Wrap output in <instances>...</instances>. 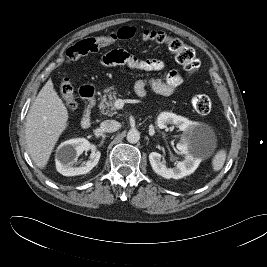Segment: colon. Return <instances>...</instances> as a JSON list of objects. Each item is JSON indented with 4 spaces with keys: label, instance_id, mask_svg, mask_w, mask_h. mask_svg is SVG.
<instances>
[{
    "label": "colon",
    "instance_id": "5ec220e1",
    "mask_svg": "<svg viewBox=\"0 0 267 267\" xmlns=\"http://www.w3.org/2000/svg\"><path fill=\"white\" fill-rule=\"evenodd\" d=\"M136 36L143 41L165 46L169 52L174 55L176 61L182 65L184 70L189 74H193L199 67V61L195 51L181 40L170 37L164 32L155 30H146L137 35L136 30L133 27H122L116 33L107 36L88 37L80 40L67 49V61H76L81 56L88 53L97 52L117 41L130 40ZM60 94L68 110L71 112L75 111L77 103L74 97V90L70 79L66 75L61 79ZM191 103L194 110L199 114L209 113L212 107L210 98L204 94L195 95L192 98Z\"/></svg>",
    "mask_w": 267,
    "mask_h": 267
}]
</instances>
